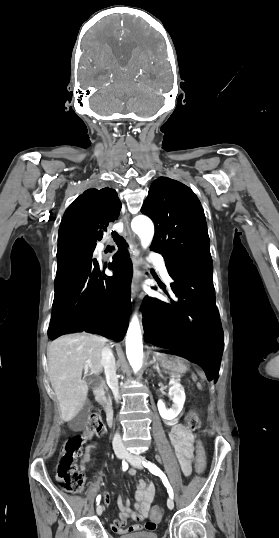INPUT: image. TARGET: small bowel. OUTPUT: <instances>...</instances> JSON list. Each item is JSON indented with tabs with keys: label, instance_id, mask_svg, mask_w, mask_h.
I'll list each match as a JSON object with an SVG mask.
<instances>
[{
	"label": "small bowel",
	"instance_id": "small-bowel-1",
	"mask_svg": "<svg viewBox=\"0 0 279 538\" xmlns=\"http://www.w3.org/2000/svg\"><path fill=\"white\" fill-rule=\"evenodd\" d=\"M169 440L175 449L183 474L185 476H189L192 471L191 461L193 456V435L182 424L177 423L172 425ZM94 449V444H88L85 447L83 457L81 459L82 469H84L85 465L90 461L91 453ZM128 474L129 476L136 475V469L130 468ZM155 492L156 488L153 483L147 485L144 480H139L135 493V511L132 509L130 500L124 499L122 495H119L117 504L120 509V514L118 519L111 524L112 531L122 534L136 532L143 529H155L156 525L154 521H147L144 524L141 523L149 515V510L153 502ZM104 501L107 506L110 504V496L108 494L105 495ZM130 519L136 521V523L128 526L127 523Z\"/></svg>",
	"mask_w": 279,
	"mask_h": 538
}]
</instances>
